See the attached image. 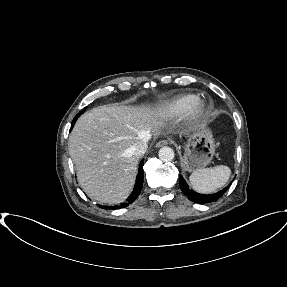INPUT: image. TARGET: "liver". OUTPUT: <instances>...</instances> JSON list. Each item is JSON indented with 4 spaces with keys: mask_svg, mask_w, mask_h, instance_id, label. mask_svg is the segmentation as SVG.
I'll use <instances>...</instances> for the list:
<instances>
[{
    "mask_svg": "<svg viewBox=\"0 0 287 287\" xmlns=\"http://www.w3.org/2000/svg\"><path fill=\"white\" fill-rule=\"evenodd\" d=\"M163 124L152 105H102L80 116L68 146L84 192L100 203L123 202L139 162L131 147Z\"/></svg>",
    "mask_w": 287,
    "mask_h": 287,
    "instance_id": "liver-1",
    "label": "liver"
}]
</instances>
